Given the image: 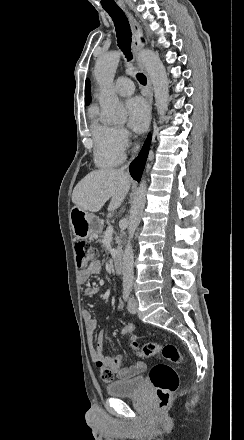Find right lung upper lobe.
<instances>
[{"label":"right lung upper lobe","instance_id":"1","mask_svg":"<svg viewBox=\"0 0 244 440\" xmlns=\"http://www.w3.org/2000/svg\"><path fill=\"white\" fill-rule=\"evenodd\" d=\"M90 90H91L90 81H89V79H86V82H85V103L86 104L91 101Z\"/></svg>","mask_w":244,"mask_h":440}]
</instances>
